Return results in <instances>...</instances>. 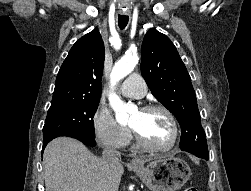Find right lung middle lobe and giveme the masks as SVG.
<instances>
[{
  "label": "right lung middle lobe",
  "instance_id": "right-lung-middle-lobe-1",
  "mask_svg": "<svg viewBox=\"0 0 251 191\" xmlns=\"http://www.w3.org/2000/svg\"><path fill=\"white\" fill-rule=\"evenodd\" d=\"M98 104L99 101H90L51 106L43 127V142L66 132L95 137L93 117Z\"/></svg>",
  "mask_w": 251,
  "mask_h": 191
}]
</instances>
